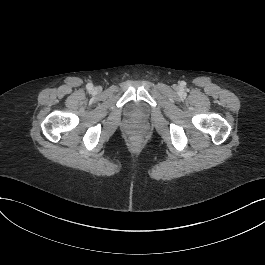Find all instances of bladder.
I'll return each mask as SVG.
<instances>
[{
	"label": "bladder",
	"instance_id": "1",
	"mask_svg": "<svg viewBox=\"0 0 265 265\" xmlns=\"http://www.w3.org/2000/svg\"><path fill=\"white\" fill-rule=\"evenodd\" d=\"M133 112H134V113H141V112H140L139 110H137V109L134 110Z\"/></svg>",
	"mask_w": 265,
	"mask_h": 265
}]
</instances>
